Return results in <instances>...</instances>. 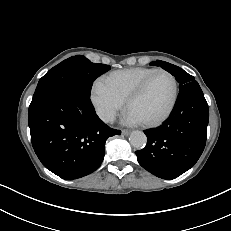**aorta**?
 <instances>
[{
    "instance_id": "aorta-1",
    "label": "aorta",
    "mask_w": 231,
    "mask_h": 231,
    "mask_svg": "<svg viewBox=\"0 0 231 231\" xmlns=\"http://www.w3.org/2000/svg\"><path fill=\"white\" fill-rule=\"evenodd\" d=\"M129 141L136 149L144 148L147 143V137L142 131H133L130 134Z\"/></svg>"
}]
</instances>
